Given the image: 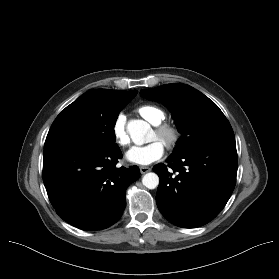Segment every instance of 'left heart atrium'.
Here are the masks:
<instances>
[{"instance_id": "39dd6f15", "label": "left heart atrium", "mask_w": 279, "mask_h": 279, "mask_svg": "<svg viewBox=\"0 0 279 279\" xmlns=\"http://www.w3.org/2000/svg\"><path fill=\"white\" fill-rule=\"evenodd\" d=\"M164 151L163 143L156 139L147 145L132 147L126 153V157L130 162L135 164L149 165L161 159Z\"/></svg>"}]
</instances>
